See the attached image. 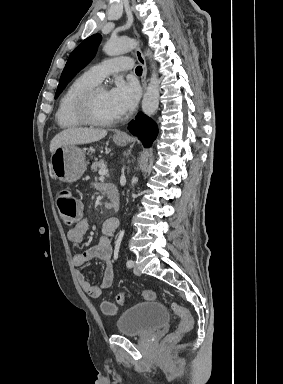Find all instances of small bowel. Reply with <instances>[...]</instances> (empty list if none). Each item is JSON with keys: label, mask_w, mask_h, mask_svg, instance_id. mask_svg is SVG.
Segmentation results:
<instances>
[{"label": "small bowel", "mask_w": 283, "mask_h": 384, "mask_svg": "<svg viewBox=\"0 0 283 384\" xmlns=\"http://www.w3.org/2000/svg\"><path fill=\"white\" fill-rule=\"evenodd\" d=\"M97 187H99L97 185ZM89 227V220L86 216L82 217L78 223L67 232V238L72 243H81L84 235ZM119 227L117 218L110 217L102 224V235L98 242L88 250L76 253L73 256V264L77 267L83 266L85 263L99 259L104 262L103 277L99 285H93L85 277L81 271L77 272L78 282L83 291L92 299L100 297L102 292L111 287L114 280L113 268V247L111 244V237Z\"/></svg>", "instance_id": "obj_1"}]
</instances>
